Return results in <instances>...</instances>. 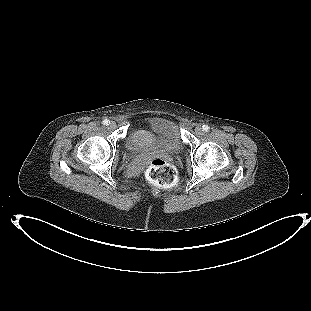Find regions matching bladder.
Listing matches in <instances>:
<instances>
[{"label": "bladder", "instance_id": "1", "mask_svg": "<svg viewBox=\"0 0 311 311\" xmlns=\"http://www.w3.org/2000/svg\"><path fill=\"white\" fill-rule=\"evenodd\" d=\"M182 146L178 126L173 121L160 116L152 117L144 126L131 130L126 141L127 149L135 152L158 149L178 153Z\"/></svg>", "mask_w": 311, "mask_h": 311}]
</instances>
